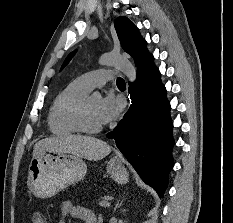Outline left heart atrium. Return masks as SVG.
I'll list each match as a JSON object with an SVG mask.
<instances>
[{
	"label": "left heart atrium",
	"mask_w": 233,
	"mask_h": 223,
	"mask_svg": "<svg viewBox=\"0 0 233 223\" xmlns=\"http://www.w3.org/2000/svg\"><path fill=\"white\" fill-rule=\"evenodd\" d=\"M121 111V104L118 99L109 94L99 101L97 107V118L101 125H107L115 121Z\"/></svg>",
	"instance_id": "1"
}]
</instances>
